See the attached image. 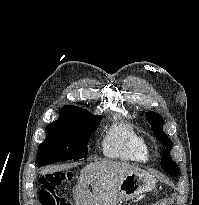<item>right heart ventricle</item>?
<instances>
[{"label": "right heart ventricle", "instance_id": "e07e8e85", "mask_svg": "<svg viewBox=\"0 0 199 205\" xmlns=\"http://www.w3.org/2000/svg\"><path fill=\"white\" fill-rule=\"evenodd\" d=\"M102 151L107 157L133 162H145L149 158L147 142L128 123L112 126L103 138Z\"/></svg>", "mask_w": 199, "mask_h": 205}]
</instances>
